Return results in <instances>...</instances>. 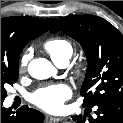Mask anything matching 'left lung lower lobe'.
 <instances>
[{"mask_svg":"<svg viewBox=\"0 0 123 123\" xmlns=\"http://www.w3.org/2000/svg\"><path fill=\"white\" fill-rule=\"evenodd\" d=\"M97 118L86 120L85 116L76 115V123H123V98H108L95 105Z\"/></svg>","mask_w":123,"mask_h":123,"instance_id":"0a47b994","label":"left lung lower lobe"}]
</instances>
